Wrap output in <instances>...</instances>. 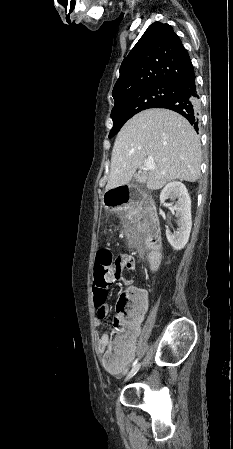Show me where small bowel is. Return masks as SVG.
Instances as JSON below:
<instances>
[{
  "label": "small bowel",
  "instance_id": "1",
  "mask_svg": "<svg viewBox=\"0 0 233 449\" xmlns=\"http://www.w3.org/2000/svg\"><path fill=\"white\" fill-rule=\"evenodd\" d=\"M136 268V261L133 256L124 253V252H118L115 264L111 268V275H110V281L114 282L119 279H123V283L126 286H132L134 283V279L132 277H126L123 278V273L125 271H133ZM147 279L151 278L150 274L146 275ZM145 308V307H144ZM110 312L109 306L104 305L102 308L97 309V317L95 319V325L99 326L102 322V320L108 316ZM140 333V327L136 334L131 337L129 342L126 345L125 350L123 351H116L112 345H111V338L108 334H103L101 337L97 339L96 342V350L99 356L103 358L106 354H112L116 359H122L123 364L122 366L118 367L117 369H114L115 372L122 374L126 371L129 363L133 360L135 350H136V341Z\"/></svg>",
  "mask_w": 233,
  "mask_h": 449
}]
</instances>
